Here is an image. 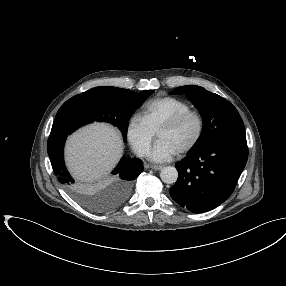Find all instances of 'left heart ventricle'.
I'll return each mask as SVG.
<instances>
[{
	"label": "left heart ventricle",
	"instance_id": "b2bd125f",
	"mask_svg": "<svg viewBox=\"0 0 286 286\" xmlns=\"http://www.w3.org/2000/svg\"><path fill=\"white\" fill-rule=\"evenodd\" d=\"M197 128L198 124L196 119L189 118L175 128L160 131L158 133V138L159 140L168 141L173 147L180 151L195 137Z\"/></svg>",
	"mask_w": 286,
	"mask_h": 286
}]
</instances>
